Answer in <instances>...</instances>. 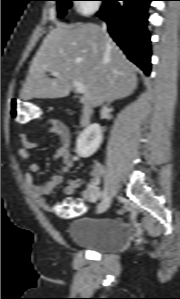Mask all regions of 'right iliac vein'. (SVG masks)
Masks as SVG:
<instances>
[{"instance_id": "1", "label": "right iliac vein", "mask_w": 180, "mask_h": 299, "mask_svg": "<svg viewBox=\"0 0 180 299\" xmlns=\"http://www.w3.org/2000/svg\"><path fill=\"white\" fill-rule=\"evenodd\" d=\"M110 204H111V197L106 196V198L99 204L97 208V213L105 212L110 207Z\"/></svg>"}]
</instances>
